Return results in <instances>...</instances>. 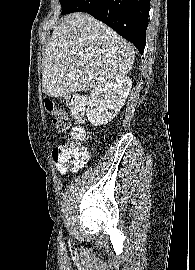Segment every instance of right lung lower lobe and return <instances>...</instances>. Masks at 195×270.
Listing matches in <instances>:
<instances>
[{
  "mask_svg": "<svg viewBox=\"0 0 195 270\" xmlns=\"http://www.w3.org/2000/svg\"><path fill=\"white\" fill-rule=\"evenodd\" d=\"M150 0H77L70 13L86 12L132 42L143 54Z\"/></svg>",
  "mask_w": 195,
  "mask_h": 270,
  "instance_id": "right-lung-lower-lobe-1",
  "label": "right lung lower lobe"
}]
</instances>
